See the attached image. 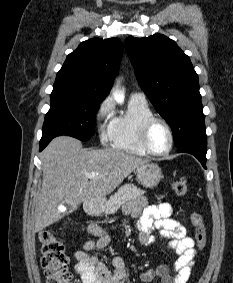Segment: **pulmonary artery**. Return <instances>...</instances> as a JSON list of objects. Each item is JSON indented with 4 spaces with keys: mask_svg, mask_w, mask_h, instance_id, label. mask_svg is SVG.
<instances>
[{
    "mask_svg": "<svg viewBox=\"0 0 233 283\" xmlns=\"http://www.w3.org/2000/svg\"><path fill=\"white\" fill-rule=\"evenodd\" d=\"M130 100L146 102V97L143 93L140 92H133L130 95Z\"/></svg>",
    "mask_w": 233,
    "mask_h": 283,
    "instance_id": "e3ab8cb5",
    "label": "pulmonary artery"
}]
</instances>
